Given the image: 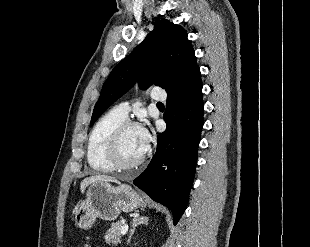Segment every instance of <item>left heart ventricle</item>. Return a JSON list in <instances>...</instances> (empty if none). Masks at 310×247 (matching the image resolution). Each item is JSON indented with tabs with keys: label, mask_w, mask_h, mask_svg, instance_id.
<instances>
[{
	"label": "left heart ventricle",
	"mask_w": 310,
	"mask_h": 247,
	"mask_svg": "<svg viewBox=\"0 0 310 247\" xmlns=\"http://www.w3.org/2000/svg\"><path fill=\"white\" fill-rule=\"evenodd\" d=\"M139 127L126 130L121 141V156L125 163L137 161L145 153Z\"/></svg>",
	"instance_id": "left-heart-ventricle-1"
}]
</instances>
